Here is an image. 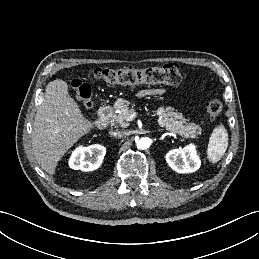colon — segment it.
Returning a JSON list of instances; mask_svg holds the SVG:
<instances>
[{
	"label": "colon",
	"mask_w": 259,
	"mask_h": 259,
	"mask_svg": "<svg viewBox=\"0 0 259 259\" xmlns=\"http://www.w3.org/2000/svg\"><path fill=\"white\" fill-rule=\"evenodd\" d=\"M90 77L112 86H144L180 83L182 74L180 67L174 63L149 67H97L90 71ZM72 89L85 109L92 107L91 87L80 80L72 82ZM208 118L216 120L222 111V102L218 98L209 100L205 106Z\"/></svg>",
	"instance_id": "obj_1"
}]
</instances>
